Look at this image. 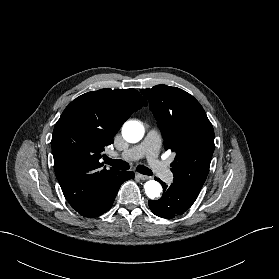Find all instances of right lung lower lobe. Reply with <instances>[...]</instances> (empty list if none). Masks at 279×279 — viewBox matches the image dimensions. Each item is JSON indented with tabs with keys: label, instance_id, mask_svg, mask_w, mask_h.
Masks as SVG:
<instances>
[{
	"label": "right lung lower lobe",
	"instance_id": "right-lung-lower-lobe-1",
	"mask_svg": "<svg viewBox=\"0 0 279 279\" xmlns=\"http://www.w3.org/2000/svg\"><path fill=\"white\" fill-rule=\"evenodd\" d=\"M132 178H134L133 172L119 171L110 176L103 182L93 202L88 207L77 210V212L88 218H94L107 212L111 208L121 184Z\"/></svg>",
	"mask_w": 279,
	"mask_h": 279
}]
</instances>
